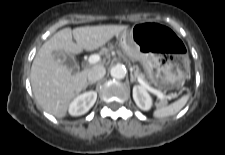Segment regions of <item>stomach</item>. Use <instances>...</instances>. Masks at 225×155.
<instances>
[{
    "instance_id": "0dacf381",
    "label": "stomach",
    "mask_w": 225,
    "mask_h": 155,
    "mask_svg": "<svg viewBox=\"0 0 225 155\" xmlns=\"http://www.w3.org/2000/svg\"><path fill=\"white\" fill-rule=\"evenodd\" d=\"M125 53L142 63L157 86L179 85L187 74L181 39L169 27L153 22L134 24L118 35Z\"/></svg>"
}]
</instances>
